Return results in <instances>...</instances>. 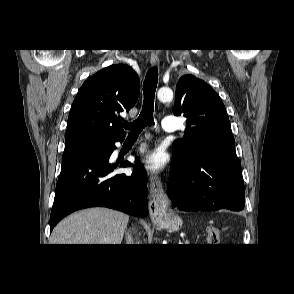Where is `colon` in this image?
<instances>
[{"label": "colon", "instance_id": "1", "mask_svg": "<svg viewBox=\"0 0 294 294\" xmlns=\"http://www.w3.org/2000/svg\"><path fill=\"white\" fill-rule=\"evenodd\" d=\"M220 230L218 227L210 225L206 229V243L210 246L217 245L219 241Z\"/></svg>", "mask_w": 294, "mask_h": 294}]
</instances>
